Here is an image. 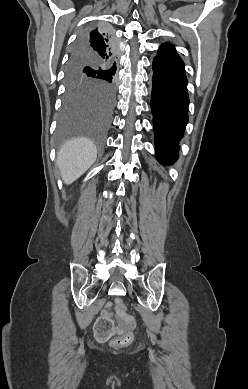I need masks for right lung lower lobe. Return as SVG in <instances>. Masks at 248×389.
<instances>
[{
	"mask_svg": "<svg viewBox=\"0 0 248 389\" xmlns=\"http://www.w3.org/2000/svg\"><path fill=\"white\" fill-rule=\"evenodd\" d=\"M105 33L108 35V39H107V40H109L110 45H112V48L114 49V48H115V45H116V42H115V40H114L112 34H111L110 32H107V31H106ZM83 39H84V37H80V38H79V41H78L77 44H76V46H78V47H79L82 51H84L85 53L90 54V53L87 51V49H85V48L83 47L84 44L81 42Z\"/></svg>",
	"mask_w": 248,
	"mask_h": 389,
	"instance_id": "obj_1",
	"label": "right lung lower lobe"
}]
</instances>
